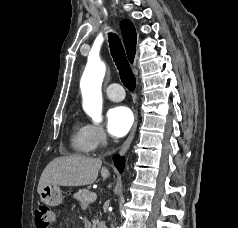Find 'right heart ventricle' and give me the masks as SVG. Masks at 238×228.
<instances>
[{"mask_svg": "<svg viewBox=\"0 0 238 228\" xmlns=\"http://www.w3.org/2000/svg\"><path fill=\"white\" fill-rule=\"evenodd\" d=\"M71 146L75 152L80 154H88L93 150L87 136L86 125H83L79 120H75L73 124Z\"/></svg>", "mask_w": 238, "mask_h": 228, "instance_id": "obj_1", "label": "right heart ventricle"}]
</instances>
